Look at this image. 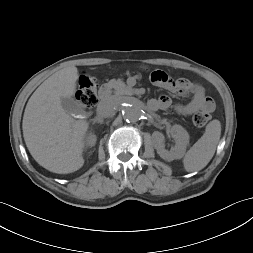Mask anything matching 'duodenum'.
I'll list each match as a JSON object with an SVG mask.
<instances>
[{"label":"duodenum","mask_w":253,"mask_h":253,"mask_svg":"<svg viewBox=\"0 0 253 253\" xmlns=\"http://www.w3.org/2000/svg\"><path fill=\"white\" fill-rule=\"evenodd\" d=\"M109 85H104L99 90V97L100 99H104L108 94Z\"/></svg>","instance_id":"obj_1"}]
</instances>
